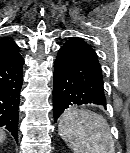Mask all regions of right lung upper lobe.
Segmentation results:
<instances>
[{
	"instance_id": "cb5924a9",
	"label": "right lung upper lobe",
	"mask_w": 130,
	"mask_h": 153,
	"mask_svg": "<svg viewBox=\"0 0 130 153\" xmlns=\"http://www.w3.org/2000/svg\"><path fill=\"white\" fill-rule=\"evenodd\" d=\"M19 47L11 39L0 41V62L11 60L19 56Z\"/></svg>"
}]
</instances>
